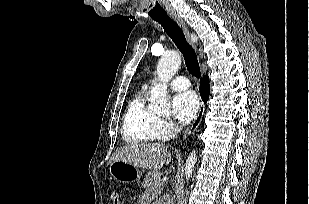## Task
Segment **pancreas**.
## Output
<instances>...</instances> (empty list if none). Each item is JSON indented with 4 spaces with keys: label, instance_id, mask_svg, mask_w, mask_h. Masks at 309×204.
I'll return each mask as SVG.
<instances>
[{
    "label": "pancreas",
    "instance_id": "1",
    "mask_svg": "<svg viewBox=\"0 0 309 204\" xmlns=\"http://www.w3.org/2000/svg\"><path fill=\"white\" fill-rule=\"evenodd\" d=\"M144 189L148 191V200L158 197L163 190V183L161 180V174L158 171H149L142 183Z\"/></svg>",
    "mask_w": 309,
    "mask_h": 204
}]
</instances>
